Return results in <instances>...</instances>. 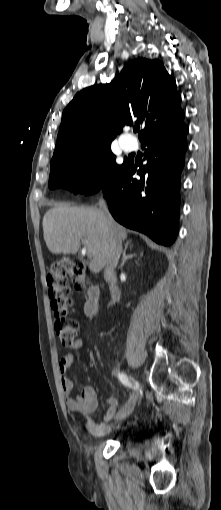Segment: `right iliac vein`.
<instances>
[{
  "mask_svg": "<svg viewBox=\"0 0 221 510\" xmlns=\"http://www.w3.org/2000/svg\"><path fill=\"white\" fill-rule=\"evenodd\" d=\"M136 398H137V394L133 393V395L131 396V398L129 399L127 404L124 406V408L117 413L116 420L121 421V420L127 418L132 413V411L134 409V404H135Z\"/></svg>",
  "mask_w": 221,
  "mask_h": 510,
  "instance_id": "right-iliac-vein-1",
  "label": "right iliac vein"
}]
</instances>
